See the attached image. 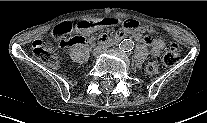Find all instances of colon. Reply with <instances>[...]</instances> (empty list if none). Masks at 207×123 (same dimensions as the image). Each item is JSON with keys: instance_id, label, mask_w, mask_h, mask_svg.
I'll use <instances>...</instances> for the list:
<instances>
[{"instance_id": "5ec220e1", "label": "colon", "mask_w": 207, "mask_h": 123, "mask_svg": "<svg viewBox=\"0 0 207 123\" xmlns=\"http://www.w3.org/2000/svg\"><path fill=\"white\" fill-rule=\"evenodd\" d=\"M71 32L72 25L68 22H64L58 24L53 29V36L59 40L63 46H70L83 41L82 37H72ZM33 52L36 58L50 65L51 67H56L58 65V60L53 53L51 44L45 40L37 39L34 41ZM180 52V45L176 42H172L162 57L151 59L148 62L146 66V72L150 75H153L158 73L162 67L174 66L179 60Z\"/></svg>"}]
</instances>
